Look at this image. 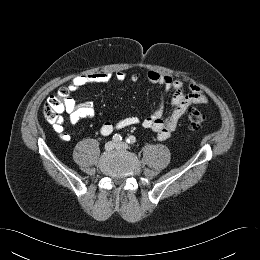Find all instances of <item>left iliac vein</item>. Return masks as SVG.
Instances as JSON below:
<instances>
[{
    "mask_svg": "<svg viewBox=\"0 0 260 260\" xmlns=\"http://www.w3.org/2000/svg\"><path fill=\"white\" fill-rule=\"evenodd\" d=\"M116 148L124 150V149L128 148V145L126 143H124V142H121V143L116 144Z\"/></svg>",
    "mask_w": 260,
    "mask_h": 260,
    "instance_id": "obj_1",
    "label": "left iliac vein"
}]
</instances>
